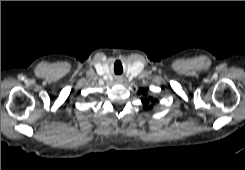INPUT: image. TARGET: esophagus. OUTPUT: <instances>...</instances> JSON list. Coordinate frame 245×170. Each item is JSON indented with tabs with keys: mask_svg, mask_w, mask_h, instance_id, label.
<instances>
[{
	"mask_svg": "<svg viewBox=\"0 0 245 170\" xmlns=\"http://www.w3.org/2000/svg\"><path fill=\"white\" fill-rule=\"evenodd\" d=\"M117 82H118V83L122 82V79H118Z\"/></svg>",
	"mask_w": 245,
	"mask_h": 170,
	"instance_id": "1",
	"label": "esophagus"
}]
</instances>
